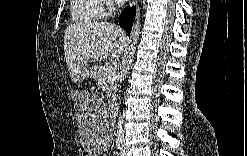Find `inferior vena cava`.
I'll return each mask as SVG.
<instances>
[{"label": "inferior vena cava", "mask_w": 247, "mask_h": 156, "mask_svg": "<svg viewBox=\"0 0 247 156\" xmlns=\"http://www.w3.org/2000/svg\"><path fill=\"white\" fill-rule=\"evenodd\" d=\"M121 121V120H120ZM120 132H121V134H122V127L120 126Z\"/></svg>", "instance_id": "inferior-vena-cava-1"}]
</instances>
